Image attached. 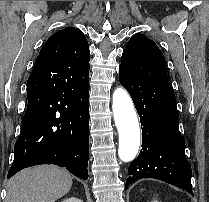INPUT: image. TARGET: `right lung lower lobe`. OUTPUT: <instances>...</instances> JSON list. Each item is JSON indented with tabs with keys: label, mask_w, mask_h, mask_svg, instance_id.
<instances>
[{
	"label": "right lung lower lobe",
	"mask_w": 209,
	"mask_h": 202,
	"mask_svg": "<svg viewBox=\"0 0 209 202\" xmlns=\"http://www.w3.org/2000/svg\"><path fill=\"white\" fill-rule=\"evenodd\" d=\"M28 105L14 146L8 178L25 167L54 164L88 179V82L56 73L51 61H35L27 82Z\"/></svg>",
	"instance_id": "98d812e1"
}]
</instances>
